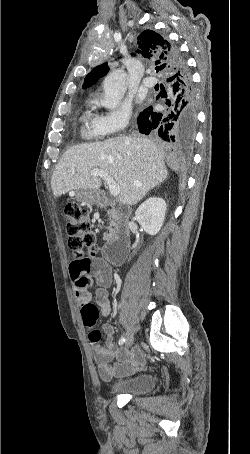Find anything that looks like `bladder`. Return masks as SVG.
<instances>
[{
    "label": "bladder",
    "instance_id": "1",
    "mask_svg": "<svg viewBox=\"0 0 250 454\" xmlns=\"http://www.w3.org/2000/svg\"><path fill=\"white\" fill-rule=\"evenodd\" d=\"M155 387V374L145 372L112 381L109 384V392L113 395L141 396L150 393Z\"/></svg>",
    "mask_w": 250,
    "mask_h": 454
}]
</instances>
